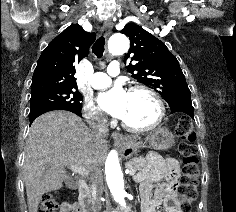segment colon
<instances>
[{"label": "colon", "mask_w": 236, "mask_h": 212, "mask_svg": "<svg viewBox=\"0 0 236 212\" xmlns=\"http://www.w3.org/2000/svg\"><path fill=\"white\" fill-rule=\"evenodd\" d=\"M176 134L181 139L179 153L183 159V175L179 188V197L182 202L183 212H190L191 205L198 198L197 187L200 175L199 160L195 154L196 136L193 132L190 118H180ZM59 207L54 195L45 194L42 197L38 212H58Z\"/></svg>", "instance_id": "1"}]
</instances>
